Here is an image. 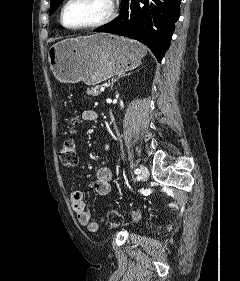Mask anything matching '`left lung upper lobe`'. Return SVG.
Wrapping results in <instances>:
<instances>
[{
	"instance_id": "1",
	"label": "left lung upper lobe",
	"mask_w": 240,
	"mask_h": 281,
	"mask_svg": "<svg viewBox=\"0 0 240 281\" xmlns=\"http://www.w3.org/2000/svg\"><path fill=\"white\" fill-rule=\"evenodd\" d=\"M63 0H50V14H52Z\"/></svg>"
}]
</instances>
